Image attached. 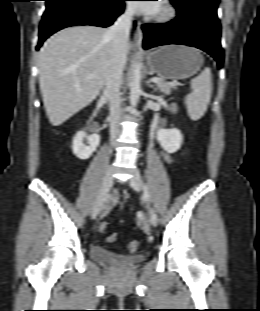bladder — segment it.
Wrapping results in <instances>:
<instances>
[{
	"label": "bladder",
	"mask_w": 260,
	"mask_h": 311,
	"mask_svg": "<svg viewBox=\"0 0 260 311\" xmlns=\"http://www.w3.org/2000/svg\"><path fill=\"white\" fill-rule=\"evenodd\" d=\"M89 254L92 260L105 265L126 264L135 265L144 260L142 255L123 256L98 245H92L89 248Z\"/></svg>",
	"instance_id": "bladder-1"
}]
</instances>
